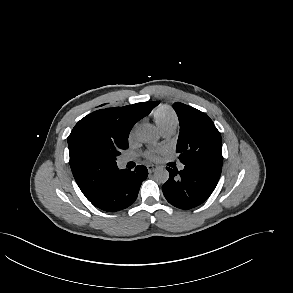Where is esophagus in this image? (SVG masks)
I'll list each match as a JSON object with an SVG mask.
<instances>
[{
    "instance_id": "34e87169",
    "label": "esophagus",
    "mask_w": 293,
    "mask_h": 293,
    "mask_svg": "<svg viewBox=\"0 0 293 293\" xmlns=\"http://www.w3.org/2000/svg\"><path fill=\"white\" fill-rule=\"evenodd\" d=\"M147 169L150 173H152L158 169V166L153 165V164H149V165H147Z\"/></svg>"
}]
</instances>
